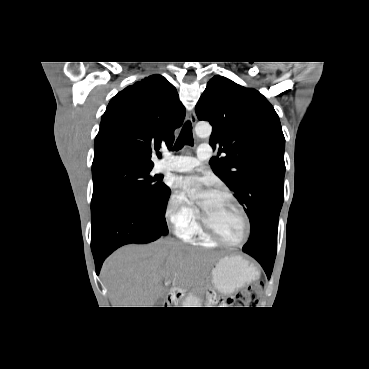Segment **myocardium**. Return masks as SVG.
Returning a JSON list of instances; mask_svg holds the SVG:
<instances>
[{
	"instance_id": "obj_1",
	"label": "myocardium",
	"mask_w": 369,
	"mask_h": 369,
	"mask_svg": "<svg viewBox=\"0 0 369 369\" xmlns=\"http://www.w3.org/2000/svg\"><path fill=\"white\" fill-rule=\"evenodd\" d=\"M214 194H217L219 196H223V197L228 198L238 208V210L242 214V217H243V220H244V225H245L244 236L239 241H229V240L224 239L219 234H217L213 230V228L208 224V222H207L206 218L204 217L203 213L199 212V227H200L201 231L210 240H212L214 242H217V243H220V244H223V245H226V246L239 247V246L244 245L249 240V237H250V234H251V223H250V219H249V215H248L247 211L245 210L243 205L238 201V199L232 193H230L226 190H217V191L214 192Z\"/></svg>"
}]
</instances>
